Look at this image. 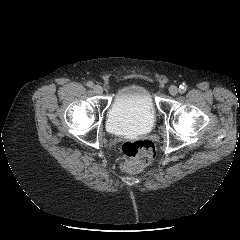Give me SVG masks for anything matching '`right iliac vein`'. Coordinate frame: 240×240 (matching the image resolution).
<instances>
[{
    "label": "right iliac vein",
    "mask_w": 240,
    "mask_h": 240,
    "mask_svg": "<svg viewBox=\"0 0 240 240\" xmlns=\"http://www.w3.org/2000/svg\"><path fill=\"white\" fill-rule=\"evenodd\" d=\"M93 91L98 94V95H101L103 93V88L101 85H95L93 87Z\"/></svg>",
    "instance_id": "63e3f726"
}]
</instances>
